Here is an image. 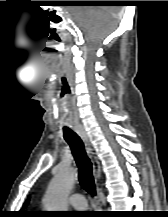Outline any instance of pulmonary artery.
<instances>
[{
    "label": "pulmonary artery",
    "mask_w": 168,
    "mask_h": 217,
    "mask_svg": "<svg viewBox=\"0 0 168 217\" xmlns=\"http://www.w3.org/2000/svg\"><path fill=\"white\" fill-rule=\"evenodd\" d=\"M70 205L75 209H85L87 206L84 195L80 193H74L69 197Z\"/></svg>",
    "instance_id": "pulmonary-artery-1"
}]
</instances>
